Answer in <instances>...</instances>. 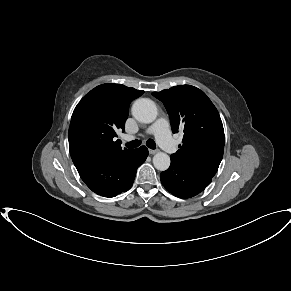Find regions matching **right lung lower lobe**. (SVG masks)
<instances>
[{"label": "right lung lower lobe", "mask_w": 291, "mask_h": 291, "mask_svg": "<svg viewBox=\"0 0 291 291\" xmlns=\"http://www.w3.org/2000/svg\"><path fill=\"white\" fill-rule=\"evenodd\" d=\"M145 146L129 150L113 159H100L83 154L71 155L84 183L96 194L115 197L133 184L137 168L146 160Z\"/></svg>", "instance_id": "obj_1"}]
</instances>
